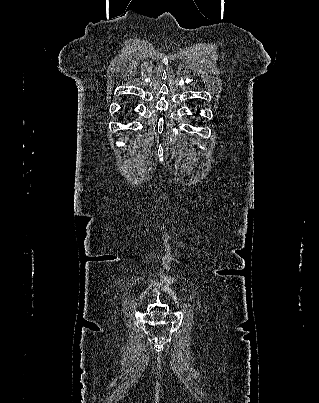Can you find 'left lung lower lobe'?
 Returning <instances> with one entry per match:
<instances>
[{"label":"left lung lower lobe","mask_w":319,"mask_h":403,"mask_svg":"<svg viewBox=\"0 0 319 403\" xmlns=\"http://www.w3.org/2000/svg\"><path fill=\"white\" fill-rule=\"evenodd\" d=\"M199 112H200V111H199V110H197V114H199Z\"/></svg>","instance_id":"left-lung-lower-lobe-1"}]
</instances>
